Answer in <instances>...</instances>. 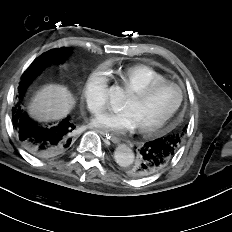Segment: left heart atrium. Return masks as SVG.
<instances>
[{"instance_id":"obj_1","label":"left heart atrium","mask_w":232,"mask_h":232,"mask_svg":"<svg viewBox=\"0 0 232 232\" xmlns=\"http://www.w3.org/2000/svg\"><path fill=\"white\" fill-rule=\"evenodd\" d=\"M91 125L114 136H121L137 127L133 115L129 111L98 113L91 120Z\"/></svg>"}]
</instances>
